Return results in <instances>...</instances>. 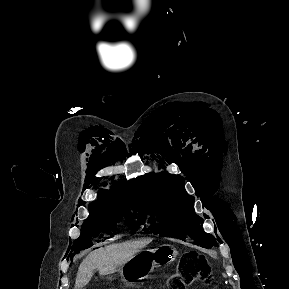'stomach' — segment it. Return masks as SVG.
Listing matches in <instances>:
<instances>
[{"label":"stomach","instance_id":"0dacf381","mask_svg":"<svg viewBox=\"0 0 289 289\" xmlns=\"http://www.w3.org/2000/svg\"><path fill=\"white\" fill-rule=\"evenodd\" d=\"M176 256V249L168 244L155 249H141L121 267V278L124 284L132 285L134 280L147 277L155 267L170 264Z\"/></svg>","mask_w":289,"mask_h":289}]
</instances>
